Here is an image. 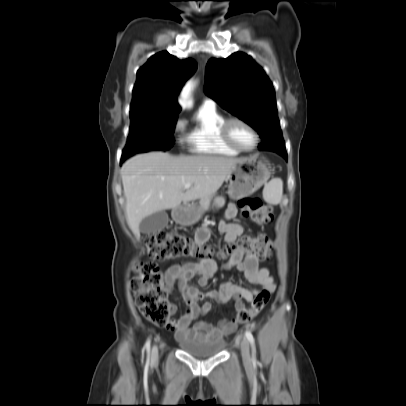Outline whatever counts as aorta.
Returning a JSON list of instances; mask_svg holds the SVG:
<instances>
[{"mask_svg":"<svg viewBox=\"0 0 406 406\" xmlns=\"http://www.w3.org/2000/svg\"><path fill=\"white\" fill-rule=\"evenodd\" d=\"M196 84L197 81L191 79L187 81V83L184 85L179 96V104L182 108L184 109L192 108L193 106L192 92L194 91Z\"/></svg>","mask_w":406,"mask_h":406,"instance_id":"aorta-1","label":"aorta"}]
</instances>
